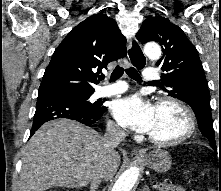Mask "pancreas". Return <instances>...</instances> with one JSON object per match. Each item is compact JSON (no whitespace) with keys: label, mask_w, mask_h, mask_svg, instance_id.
<instances>
[{"label":"pancreas","mask_w":221,"mask_h":191,"mask_svg":"<svg viewBox=\"0 0 221 191\" xmlns=\"http://www.w3.org/2000/svg\"><path fill=\"white\" fill-rule=\"evenodd\" d=\"M159 191H185V189L180 186L165 183L159 185Z\"/></svg>","instance_id":"pancreas-1"}]
</instances>
